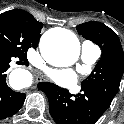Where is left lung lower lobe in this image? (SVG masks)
Masks as SVG:
<instances>
[{"label": "left lung lower lobe", "instance_id": "0a47b994", "mask_svg": "<svg viewBox=\"0 0 124 124\" xmlns=\"http://www.w3.org/2000/svg\"><path fill=\"white\" fill-rule=\"evenodd\" d=\"M38 88L47 95L50 115L57 124H94L110 106L87 91L73 98L68 90L53 83L40 82Z\"/></svg>", "mask_w": 124, "mask_h": 124}]
</instances>
